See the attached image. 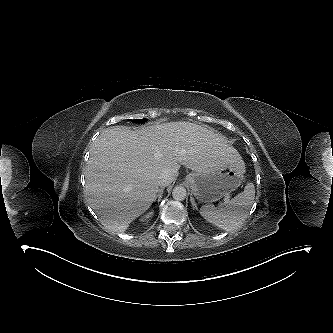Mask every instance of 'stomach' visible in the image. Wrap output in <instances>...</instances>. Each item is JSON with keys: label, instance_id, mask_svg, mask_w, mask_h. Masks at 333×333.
<instances>
[{"label": "stomach", "instance_id": "0dacf381", "mask_svg": "<svg viewBox=\"0 0 333 333\" xmlns=\"http://www.w3.org/2000/svg\"><path fill=\"white\" fill-rule=\"evenodd\" d=\"M244 172V162L239 158L221 167L194 171L186 176V180L199 202L211 203L236 190L242 183Z\"/></svg>", "mask_w": 333, "mask_h": 333}]
</instances>
